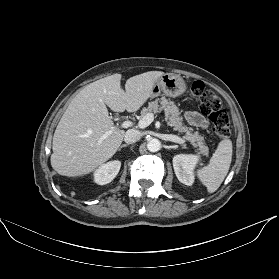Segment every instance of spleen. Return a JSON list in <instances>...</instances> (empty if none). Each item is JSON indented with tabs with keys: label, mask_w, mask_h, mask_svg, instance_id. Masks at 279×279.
<instances>
[{
	"label": "spleen",
	"mask_w": 279,
	"mask_h": 279,
	"mask_svg": "<svg viewBox=\"0 0 279 279\" xmlns=\"http://www.w3.org/2000/svg\"><path fill=\"white\" fill-rule=\"evenodd\" d=\"M231 160L232 142L226 138L218 144L209 164L197 173L208 193H213L220 187L229 171Z\"/></svg>",
	"instance_id": "obj_1"
}]
</instances>
